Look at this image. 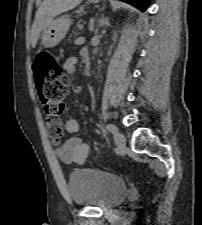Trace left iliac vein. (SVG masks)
I'll return each instance as SVG.
<instances>
[{"label": "left iliac vein", "mask_w": 202, "mask_h": 225, "mask_svg": "<svg viewBox=\"0 0 202 225\" xmlns=\"http://www.w3.org/2000/svg\"><path fill=\"white\" fill-rule=\"evenodd\" d=\"M114 140L119 149H122L126 144L125 136L120 132L114 133Z\"/></svg>", "instance_id": "4c4485c4"}]
</instances>
